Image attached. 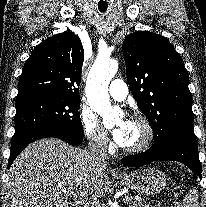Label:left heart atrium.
Returning <instances> with one entry per match:
<instances>
[{
  "label": "left heart atrium",
  "mask_w": 206,
  "mask_h": 207,
  "mask_svg": "<svg viewBox=\"0 0 206 207\" xmlns=\"http://www.w3.org/2000/svg\"><path fill=\"white\" fill-rule=\"evenodd\" d=\"M127 124L128 120H124L123 124L118 126L113 131V137L117 144L124 146L127 138Z\"/></svg>",
  "instance_id": "left-heart-atrium-1"
}]
</instances>
